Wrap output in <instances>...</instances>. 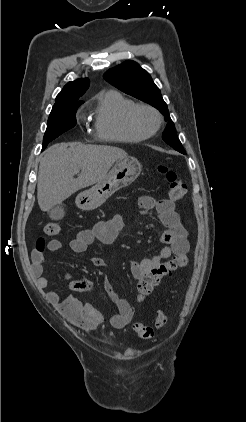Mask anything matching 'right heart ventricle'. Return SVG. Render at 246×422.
<instances>
[{
	"instance_id": "obj_1",
	"label": "right heart ventricle",
	"mask_w": 246,
	"mask_h": 422,
	"mask_svg": "<svg viewBox=\"0 0 246 422\" xmlns=\"http://www.w3.org/2000/svg\"><path fill=\"white\" fill-rule=\"evenodd\" d=\"M136 103L116 90L103 92L97 98L93 113L96 136L109 142L136 143L146 139L128 121V114Z\"/></svg>"
}]
</instances>
